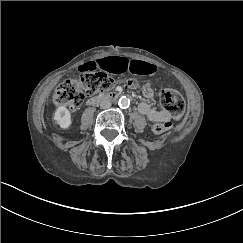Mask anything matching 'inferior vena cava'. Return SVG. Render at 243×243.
<instances>
[{
	"label": "inferior vena cava",
	"mask_w": 243,
	"mask_h": 243,
	"mask_svg": "<svg viewBox=\"0 0 243 243\" xmlns=\"http://www.w3.org/2000/svg\"><path fill=\"white\" fill-rule=\"evenodd\" d=\"M111 105H112V103H111V101L108 100V99H104V100H102V101L100 102V107H101L102 109L110 108Z\"/></svg>",
	"instance_id": "1"
}]
</instances>
